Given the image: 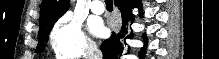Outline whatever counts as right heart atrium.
<instances>
[{
  "label": "right heart atrium",
  "instance_id": "obj_1",
  "mask_svg": "<svg viewBox=\"0 0 219 59\" xmlns=\"http://www.w3.org/2000/svg\"><path fill=\"white\" fill-rule=\"evenodd\" d=\"M49 41L55 56L59 59L89 57L95 49L79 20L70 14L62 16L53 26Z\"/></svg>",
  "mask_w": 219,
  "mask_h": 59
}]
</instances>
